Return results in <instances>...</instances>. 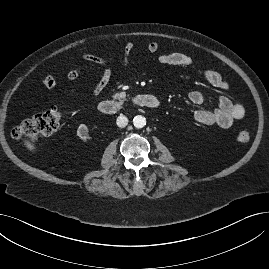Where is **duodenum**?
Returning a JSON list of instances; mask_svg holds the SVG:
<instances>
[{
	"label": "duodenum",
	"instance_id": "duodenum-1",
	"mask_svg": "<svg viewBox=\"0 0 269 269\" xmlns=\"http://www.w3.org/2000/svg\"><path fill=\"white\" fill-rule=\"evenodd\" d=\"M130 103L137 107L147 109H157L159 107V100L152 95H138L130 99ZM125 103L118 100H104L99 103L98 110L105 115H114L121 111Z\"/></svg>",
	"mask_w": 269,
	"mask_h": 269
}]
</instances>
